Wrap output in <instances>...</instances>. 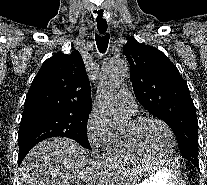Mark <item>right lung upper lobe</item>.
Returning a JSON list of instances; mask_svg holds the SVG:
<instances>
[{"instance_id": "right-lung-upper-lobe-1", "label": "right lung upper lobe", "mask_w": 207, "mask_h": 185, "mask_svg": "<svg viewBox=\"0 0 207 185\" xmlns=\"http://www.w3.org/2000/svg\"><path fill=\"white\" fill-rule=\"evenodd\" d=\"M91 88L79 51L58 52L45 60L26 96L24 112L34 110L90 114Z\"/></svg>"}]
</instances>
